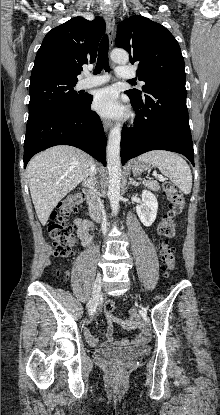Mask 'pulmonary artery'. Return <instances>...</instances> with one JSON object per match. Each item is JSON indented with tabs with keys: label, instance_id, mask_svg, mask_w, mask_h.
I'll list each match as a JSON object with an SVG mask.
<instances>
[{
	"label": "pulmonary artery",
	"instance_id": "obj_1",
	"mask_svg": "<svg viewBox=\"0 0 220 415\" xmlns=\"http://www.w3.org/2000/svg\"><path fill=\"white\" fill-rule=\"evenodd\" d=\"M115 73L119 78H133L135 76V72L127 66H118ZM109 79V74L90 75L87 73L86 77L79 82L78 87L86 89L99 86L109 81Z\"/></svg>",
	"mask_w": 220,
	"mask_h": 415
}]
</instances>
